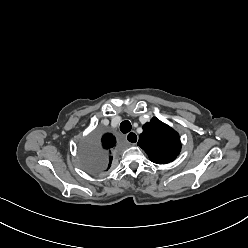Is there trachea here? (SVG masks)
I'll use <instances>...</instances> for the list:
<instances>
[{"mask_svg":"<svg viewBox=\"0 0 248 248\" xmlns=\"http://www.w3.org/2000/svg\"><path fill=\"white\" fill-rule=\"evenodd\" d=\"M131 129H132V125L128 120L121 122L120 130L122 133L126 134V133L130 132Z\"/></svg>","mask_w":248,"mask_h":248,"instance_id":"obj_1","label":"trachea"}]
</instances>
